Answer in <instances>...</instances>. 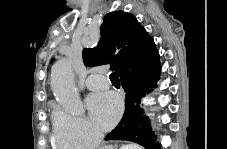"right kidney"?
<instances>
[{"label": "right kidney", "instance_id": "right-kidney-1", "mask_svg": "<svg viewBox=\"0 0 227 149\" xmlns=\"http://www.w3.org/2000/svg\"><path fill=\"white\" fill-rule=\"evenodd\" d=\"M125 149H134V147L129 145V146H126Z\"/></svg>", "mask_w": 227, "mask_h": 149}]
</instances>
